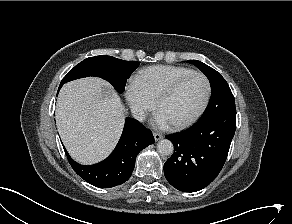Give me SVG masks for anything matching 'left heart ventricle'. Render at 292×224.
I'll use <instances>...</instances> for the list:
<instances>
[{
    "instance_id": "1",
    "label": "left heart ventricle",
    "mask_w": 292,
    "mask_h": 224,
    "mask_svg": "<svg viewBox=\"0 0 292 224\" xmlns=\"http://www.w3.org/2000/svg\"><path fill=\"white\" fill-rule=\"evenodd\" d=\"M206 95V83L201 77L188 80L172 97L164 101L158 112L169 125L191 118L201 107Z\"/></svg>"
}]
</instances>
